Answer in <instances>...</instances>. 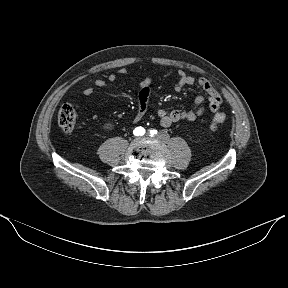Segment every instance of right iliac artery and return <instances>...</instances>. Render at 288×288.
<instances>
[{
  "label": "right iliac artery",
  "instance_id": "obj_1",
  "mask_svg": "<svg viewBox=\"0 0 288 288\" xmlns=\"http://www.w3.org/2000/svg\"><path fill=\"white\" fill-rule=\"evenodd\" d=\"M133 133L136 136H142L145 133V129L142 128V127H137V128L134 129Z\"/></svg>",
  "mask_w": 288,
  "mask_h": 288
}]
</instances>
